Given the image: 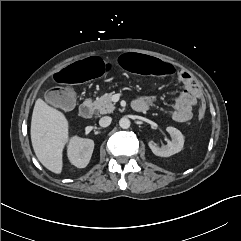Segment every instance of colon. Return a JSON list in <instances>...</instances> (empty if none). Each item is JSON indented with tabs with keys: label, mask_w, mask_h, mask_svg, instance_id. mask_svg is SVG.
Returning a JSON list of instances; mask_svg holds the SVG:
<instances>
[{
	"label": "colon",
	"mask_w": 241,
	"mask_h": 241,
	"mask_svg": "<svg viewBox=\"0 0 241 241\" xmlns=\"http://www.w3.org/2000/svg\"><path fill=\"white\" fill-rule=\"evenodd\" d=\"M123 69L134 73H143L158 78L177 77L180 69L171 64V62L162 57L146 56L144 53H124L119 60ZM106 61L102 55L93 53L84 58L72 62L69 67L57 70L51 74L50 80L54 86L60 87L64 84L70 85L75 82L89 81L96 77H101L106 72ZM50 103L68 109L74 102L72 91L66 88H55L48 93ZM206 108L203 104L199 111L198 117L202 119L205 116Z\"/></svg>",
	"instance_id": "obj_1"
}]
</instances>
